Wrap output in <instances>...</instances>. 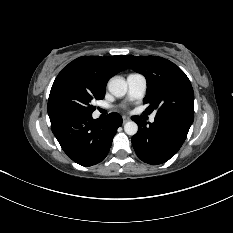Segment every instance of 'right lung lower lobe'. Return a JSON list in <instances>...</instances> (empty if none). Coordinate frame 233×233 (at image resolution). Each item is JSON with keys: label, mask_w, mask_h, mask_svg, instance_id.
Here are the masks:
<instances>
[{"label": "right lung lower lobe", "mask_w": 233, "mask_h": 233, "mask_svg": "<svg viewBox=\"0 0 233 233\" xmlns=\"http://www.w3.org/2000/svg\"><path fill=\"white\" fill-rule=\"evenodd\" d=\"M51 129L64 152L76 163L88 167L101 162L108 154L122 118L110 113L105 121L92 114L57 112L49 114Z\"/></svg>", "instance_id": "1"}]
</instances>
